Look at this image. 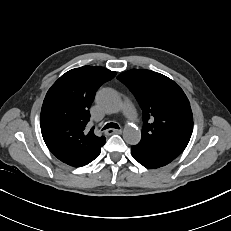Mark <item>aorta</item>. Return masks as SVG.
<instances>
[{"label": "aorta", "instance_id": "762f6f07", "mask_svg": "<svg viewBox=\"0 0 231 231\" xmlns=\"http://www.w3.org/2000/svg\"><path fill=\"white\" fill-rule=\"evenodd\" d=\"M96 102L104 111L117 113L122 103L119 95L113 89L105 88L98 92ZM123 139L130 145H136L141 140V132L137 127L127 126L123 130Z\"/></svg>", "mask_w": 231, "mask_h": 231}]
</instances>
